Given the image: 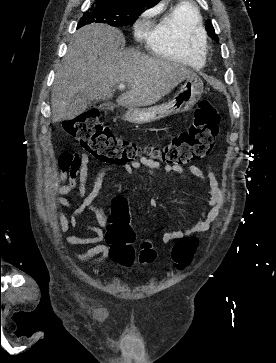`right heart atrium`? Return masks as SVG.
Listing matches in <instances>:
<instances>
[{
	"label": "right heart atrium",
	"mask_w": 276,
	"mask_h": 363,
	"mask_svg": "<svg viewBox=\"0 0 276 363\" xmlns=\"http://www.w3.org/2000/svg\"><path fill=\"white\" fill-rule=\"evenodd\" d=\"M150 13H145L139 18L134 26V32L136 37L142 38L146 35L147 28H148V18Z\"/></svg>",
	"instance_id": "d8ad5b80"
}]
</instances>
